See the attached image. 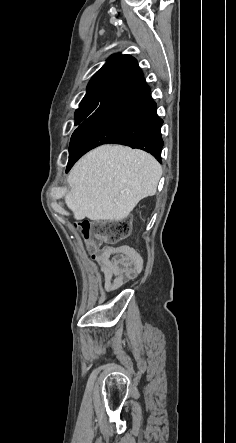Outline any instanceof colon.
Listing matches in <instances>:
<instances>
[{"label":"colon","mask_w":236,"mask_h":443,"mask_svg":"<svg viewBox=\"0 0 236 443\" xmlns=\"http://www.w3.org/2000/svg\"><path fill=\"white\" fill-rule=\"evenodd\" d=\"M79 229L89 242V250L95 252L102 243H116L127 237L131 224L128 218L99 224L84 220L79 223Z\"/></svg>","instance_id":"1"}]
</instances>
